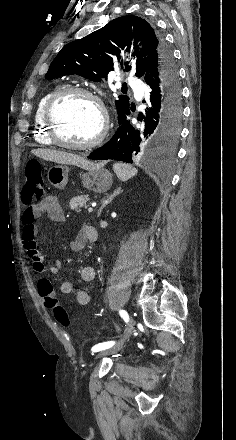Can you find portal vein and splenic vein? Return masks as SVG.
<instances>
[{"mask_svg":"<svg viewBox=\"0 0 236 440\" xmlns=\"http://www.w3.org/2000/svg\"><path fill=\"white\" fill-rule=\"evenodd\" d=\"M92 211H93V207H89L88 212H92Z\"/></svg>","mask_w":236,"mask_h":440,"instance_id":"portal-vein-and-splenic-vein-1","label":"portal vein and splenic vein"}]
</instances>
